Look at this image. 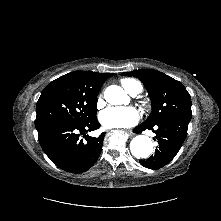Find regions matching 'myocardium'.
<instances>
[{
	"label": "myocardium",
	"instance_id": "myocardium-1",
	"mask_svg": "<svg viewBox=\"0 0 221 221\" xmlns=\"http://www.w3.org/2000/svg\"><path fill=\"white\" fill-rule=\"evenodd\" d=\"M144 106L148 107V104L145 102V103H144Z\"/></svg>",
	"mask_w": 221,
	"mask_h": 221
}]
</instances>
